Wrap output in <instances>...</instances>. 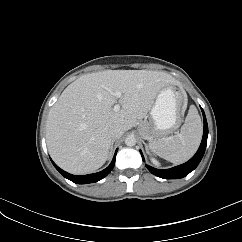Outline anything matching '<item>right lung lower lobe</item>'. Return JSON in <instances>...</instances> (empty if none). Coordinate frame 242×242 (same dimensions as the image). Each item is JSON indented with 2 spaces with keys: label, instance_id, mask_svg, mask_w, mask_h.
<instances>
[{
  "label": "right lung lower lobe",
  "instance_id": "98d812e1",
  "mask_svg": "<svg viewBox=\"0 0 242 242\" xmlns=\"http://www.w3.org/2000/svg\"><path fill=\"white\" fill-rule=\"evenodd\" d=\"M116 153L117 150L115 152V155L113 157L112 162L110 163V165L104 169L103 171H100L98 173H94V174H88V175H72L69 174L65 171H63L62 169H60L52 160L53 165L55 166V168L67 179L71 180L74 183L77 184H87V183H93V182H97L101 179H103L105 176H107L111 170L113 169L114 165H115V157H116Z\"/></svg>",
  "mask_w": 242,
  "mask_h": 242
}]
</instances>
